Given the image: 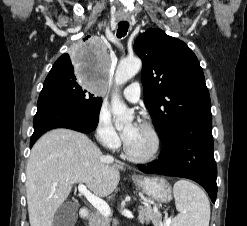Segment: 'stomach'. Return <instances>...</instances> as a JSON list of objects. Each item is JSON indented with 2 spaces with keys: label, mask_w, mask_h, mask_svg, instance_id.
I'll return each instance as SVG.
<instances>
[{
  "label": "stomach",
  "mask_w": 247,
  "mask_h": 226,
  "mask_svg": "<svg viewBox=\"0 0 247 226\" xmlns=\"http://www.w3.org/2000/svg\"><path fill=\"white\" fill-rule=\"evenodd\" d=\"M136 187L149 198L157 202H169L172 199V189L168 182L161 177H132Z\"/></svg>",
  "instance_id": "0dacf381"
}]
</instances>
